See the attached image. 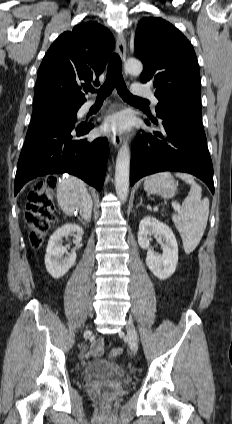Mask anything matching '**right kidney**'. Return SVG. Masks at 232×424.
I'll return each instance as SVG.
<instances>
[{
    "instance_id": "1",
    "label": "right kidney",
    "mask_w": 232,
    "mask_h": 424,
    "mask_svg": "<svg viewBox=\"0 0 232 424\" xmlns=\"http://www.w3.org/2000/svg\"><path fill=\"white\" fill-rule=\"evenodd\" d=\"M74 235L78 241L82 240L84 230L76 224H66L58 228L50 237L46 249L45 265L48 273L53 278L64 276L76 262V252H67L62 246V239ZM67 254V257H64Z\"/></svg>"
}]
</instances>
